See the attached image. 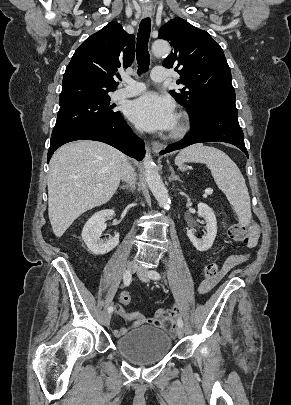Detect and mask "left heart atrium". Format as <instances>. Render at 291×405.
<instances>
[{"instance_id":"1","label":"left heart atrium","mask_w":291,"mask_h":405,"mask_svg":"<svg viewBox=\"0 0 291 405\" xmlns=\"http://www.w3.org/2000/svg\"><path fill=\"white\" fill-rule=\"evenodd\" d=\"M126 113L132 122L146 131L170 130L176 124L173 102L153 92L131 101Z\"/></svg>"}]
</instances>
